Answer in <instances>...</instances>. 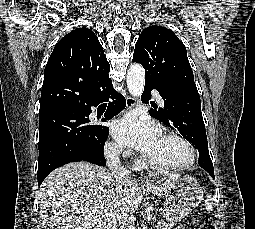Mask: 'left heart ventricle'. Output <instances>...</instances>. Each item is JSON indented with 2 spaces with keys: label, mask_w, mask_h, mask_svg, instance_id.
I'll return each mask as SVG.
<instances>
[{
  "label": "left heart ventricle",
  "mask_w": 255,
  "mask_h": 229,
  "mask_svg": "<svg viewBox=\"0 0 255 229\" xmlns=\"http://www.w3.org/2000/svg\"><path fill=\"white\" fill-rule=\"evenodd\" d=\"M145 156L150 160L164 164L179 165L189 159V152L177 140L161 136L156 146Z\"/></svg>",
  "instance_id": "obj_1"
}]
</instances>
